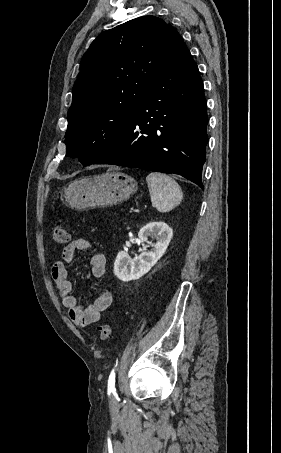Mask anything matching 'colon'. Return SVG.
<instances>
[{
  "label": "colon",
  "mask_w": 281,
  "mask_h": 453,
  "mask_svg": "<svg viewBox=\"0 0 281 453\" xmlns=\"http://www.w3.org/2000/svg\"><path fill=\"white\" fill-rule=\"evenodd\" d=\"M68 228L65 224L59 222L54 225L52 228V238L53 242L57 246H64L68 240ZM112 325L109 323H104L99 327L98 331V340L100 342H107L112 337Z\"/></svg>",
  "instance_id": "5ec220e1"
}]
</instances>
